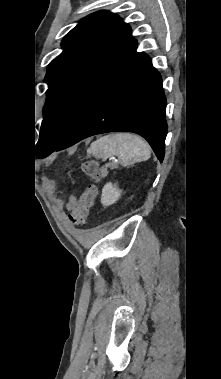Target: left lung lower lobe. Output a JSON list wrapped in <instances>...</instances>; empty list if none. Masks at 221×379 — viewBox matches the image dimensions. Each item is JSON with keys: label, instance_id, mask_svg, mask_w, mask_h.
I'll list each match as a JSON object with an SVG mask.
<instances>
[{"label": "left lung lower lobe", "instance_id": "obj_1", "mask_svg": "<svg viewBox=\"0 0 221 379\" xmlns=\"http://www.w3.org/2000/svg\"><path fill=\"white\" fill-rule=\"evenodd\" d=\"M165 107L161 76L150 58L140 53L95 100L55 151L96 134L125 131L144 137L162 162L168 129Z\"/></svg>", "mask_w": 221, "mask_h": 379}]
</instances>
